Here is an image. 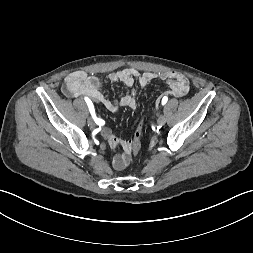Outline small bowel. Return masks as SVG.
Masks as SVG:
<instances>
[{"label": "small bowel", "mask_w": 253, "mask_h": 253, "mask_svg": "<svg viewBox=\"0 0 253 253\" xmlns=\"http://www.w3.org/2000/svg\"><path fill=\"white\" fill-rule=\"evenodd\" d=\"M156 79L166 81L170 87L169 94L174 97H183L189 91V82L180 72L139 73L136 69L128 67L109 74L111 83L121 82L131 88L128 94L116 100H110L103 94L102 82L98 77L81 70L74 71L65 77L63 93L68 97H87L95 103H101L108 111L117 113L120 108H137V91L133 87L136 82L141 87H146ZM101 135L112 149L121 151L114 157L113 167L116 170L124 169L129 163L130 142L115 137L107 127L102 128Z\"/></svg>", "instance_id": "small-bowel-1"}]
</instances>
